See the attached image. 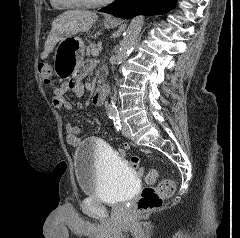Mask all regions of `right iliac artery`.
Listing matches in <instances>:
<instances>
[{
    "mask_svg": "<svg viewBox=\"0 0 240 238\" xmlns=\"http://www.w3.org/2000/svg\"><path fill=\"white\" fill-rule=\"evenodd\" d=\"M111 119H113V123H114V126L117 129V131H119L121 129L120 119L118 117H114V118H111Z\"/></svg>",
    "mask_w": 240,
    "mask_h": 238,
    "instance_id": "1",
    "label": "right iliac artery"
}]
</instances>
